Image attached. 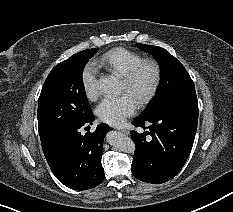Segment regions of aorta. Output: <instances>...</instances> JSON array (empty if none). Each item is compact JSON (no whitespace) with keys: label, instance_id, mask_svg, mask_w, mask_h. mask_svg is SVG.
<instances>
[{"label":"aorta","instance_id":"762f6f07","mask_svg":"<svg viewBox=\"0 0 233 212\" xmlns=\"http://www.w3.org/2000/svg\"><path fill=\"white\" fill-rule=\"evenodd\" d=\"M97 88L106 94L116 95L120 91V82L114 76L101 77L97 82ZM107 141L110 145L122 152L134 153L136 149L132 139L120 132H109L107 134Z\"/></svg>","mask_w":233,"mask_h":212}]
</instances>
